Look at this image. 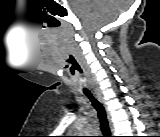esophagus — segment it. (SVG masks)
I'll return each instance as SVG.
<instances>
[{
  "instance_id": "1",
  "label": "esophagus",
  "mask_w": 160,
  "mask_h": 137,
  "mask_svg": "<svg viewBox=\"0 0 160 137\" xmlns=\"http://www.w3.org/2000/svg\"><path fill=\"white\" fill-rule=\"evenodd\" d=\"M97 97H98V100L105 106L104 101H103L101 95L97 94ZM107 117H108V120H109V125L112 126L111 121H110V115H109L108 112H107Z\"/></svg>"
}]
</instances>
